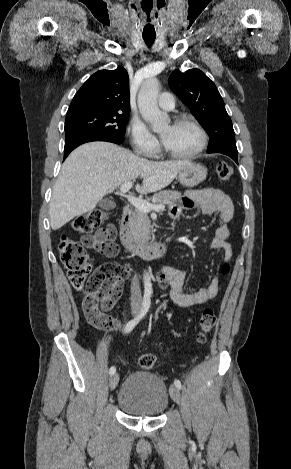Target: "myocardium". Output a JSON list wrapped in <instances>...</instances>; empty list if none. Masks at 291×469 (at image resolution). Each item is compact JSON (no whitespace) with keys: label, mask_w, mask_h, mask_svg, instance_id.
Segmentation results:
<instances>
[{"label":"myocardium","mask_w":291,"mask_h":469,"mask_svg":"<svg viewBox=\"0 0 291 469\" xmlns=\"http://www.w3.org/2000/svg\"><path fill=\"white\" fill-rule=\"evenodd\" d=\"M183 123L190 124L197 131L199 135V142L196 148L188 153H176V152L169 150L163 142L162 151L171 158L187 160V159H192L198 156L204 150L207 144V134H206L205 129L202 127V125L194 117L190 115H180L176 117V119L174 120V124H183Z\"/></svg>","instance_id":"f54148a6"}]
</instances>
